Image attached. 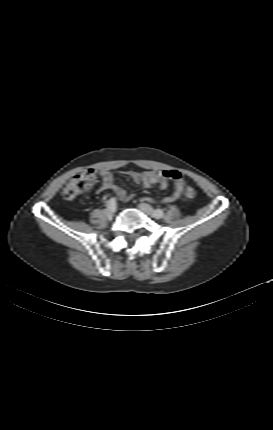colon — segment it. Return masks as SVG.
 I'll list each match as a JSON object with an SVG mask.
<instances>
[{
  "instance_id": "obj_1",
  "label": "colon",
  "mask_w": 273,
  "mask_h": 430,
  "mask_svg": "<svg viewBox=\"0 0 273 430\" xmlns=\"http://www.w3.org/2000/svg\"><path fill=\"white\" fill-rule=\"evenodd\" d=\"M97 180L98 175L95 171H82L76 174L65 186L63 190V197L67 200H71L91 189L96 184ZM185 196L188 199H193L196 196V190L192 187H188L186 189Z\"/></svg>"
}]
</instances>
